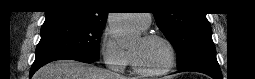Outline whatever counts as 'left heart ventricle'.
<instances>
[{
    "label": "left heart ventricle",
    "instance_id": "left-heart-ventricle-1",
    "mask_svg": "<svg viewBox=\"0 0 255 79\" xmlns=\"http://www.w3.org/2000/svg\"><path fill=\"white\" fill-rule=\"evenodd\" d=\"M142 69L156 71L168 61L167 46L160 40L145 41L141 38L131 49Z\"/></svg>",
    "mask_w": 255,
    "mask_h": 79
}]
</instances>
